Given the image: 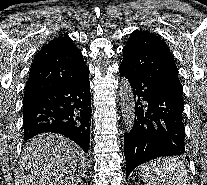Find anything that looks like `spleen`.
<instances>
[{"label":"spleen","mask_w":207,"mask_h":185,"mask_svg":"<svg viewBox=\"0 0 207 185\" xmlns=\"http://www.w3.org/2000/svg\"><path fill=\"white\" fill-rule=\"evenodd\" d=\"M136 177H145L150 185H187L189 183L188 167L180 159H150L134 166Z\"/></svg>","instance_id":"1"}]
</instances>
